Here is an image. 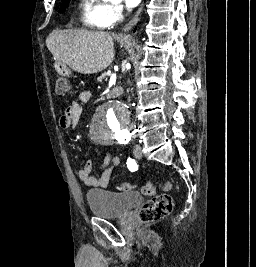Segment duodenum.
<instances>
[{"instance_id":"obj_1","label":"duodenum","mask_w":256,"mask_h":267,"mask_svg":"<svg viewBox=\"0 0 256 267\" xmlns=\"http://www.w3.org/2000/svg\"><path fill=\"white\" fill-rule=\"evenodd\" d=\"M55 70L60 73V75H64V78H68L67 73L71 72V69L68 66H56ZM104 93L106 94V99L116 100V95H114V89H105Z\"/></svg>"}]
</instances>
